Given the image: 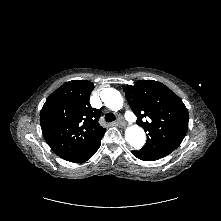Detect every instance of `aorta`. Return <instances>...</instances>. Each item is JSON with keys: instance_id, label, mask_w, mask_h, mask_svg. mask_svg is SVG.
<instances>
[{"instance_id": "obj_1", "label": "aorta", "mask_w": 221, "mask_h": 221, "mask_svg": "<svg viewBox=\"0 0 221 221\" xmlns=\"http://www.w3.org/2000/svg\"><path fill=\"white\" fill-rule=\"evenodd\" d=\"M104 104L113 111H118L123 106V97L113 88H106L101 94ZM125 140L134 148H141L146 141L144 130L138 125H132L125 131Z\"/></svg>"}]
</instances>
